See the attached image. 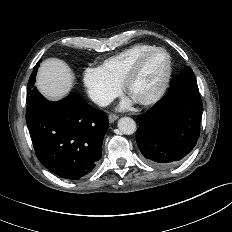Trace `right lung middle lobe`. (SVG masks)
<instances>
[{
	"mask_svg": "<svg viewBox=\"0 0 232 232\" xmlns=\"http://www.w3.org/2000/svg\"><path fill=\"white\" fill-rule=\"evenodd\" d=\"M41 61H39L36 65H35V67H34V69H33V72H32V74H31V76H30V78H29V81H28V95L31 93V91L35 88L34 87V83H35V77H36V74H37V69H38V67H39V63H40Z\"/></svg>",
	"mask_w": 232,
	"mask_h": 232,
	"instance_id": "right-lung-middle-lobe-1",
	"label": "right lung middle lobe"
}]
</instances>
